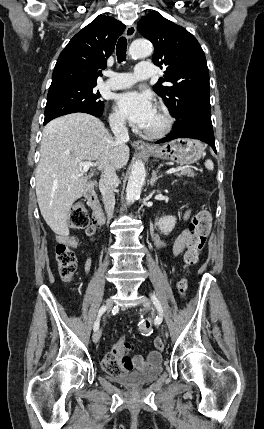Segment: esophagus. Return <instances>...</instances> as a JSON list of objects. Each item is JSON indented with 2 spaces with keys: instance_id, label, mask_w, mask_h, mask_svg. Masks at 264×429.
<instances>
[{
  "instance_id": "obj_1",
  "label": "esophagus",
  "mask_w": 264,
  "mask_h": 429,
  "mask_svg": "<svg viewBox=\"0 0 264 429\" xmlns=\"http://www.w3.org/2000/svg\"><path fill=\"white\" fill-rule=\"evenodd\" d=\"M135 33H136V28L134 25L127 26L125 31L127 39L131 40L134 37ZM133 146L138 149H151L150 145L146 144L141 140L134 141Z\"/></svg>"
}]
</instances>
